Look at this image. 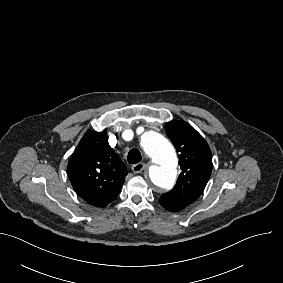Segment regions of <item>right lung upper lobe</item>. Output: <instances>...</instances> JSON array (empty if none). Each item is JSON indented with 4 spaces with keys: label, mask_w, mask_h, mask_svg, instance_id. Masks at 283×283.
<instances>
[{
    "label": "right lung upper lobe",
    "mask_w": 283,
    "mask_h": 283,
    "mask_svg": "<svg viewBox=\"0 0 283 283\" xmlns=\"http://www.w3.org/2000/svg\"><path fill=\"white\" fill-rule=\"evenodd\" d=\"M67 172L76 193L96 207L118 196L127 175L126 166L108 144L106 130L88 132L81 139Z\"/></svg>",
    "instance_id": "obj_1"
}]
</instances>
